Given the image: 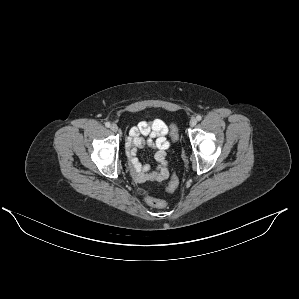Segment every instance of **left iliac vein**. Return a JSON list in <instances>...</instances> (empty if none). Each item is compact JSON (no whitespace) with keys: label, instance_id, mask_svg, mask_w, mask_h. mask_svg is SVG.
I'll return each instance as SVG.
<instances>
[{"label":"left iliac vein","instance_id":"4c4485c4","mask_svg":"<svg viewBox=\"0 0 299 299\" xmlns=\"http://www.w3.org/2000/svg\"><path fill=\"white\" fill-rule=\"evenodd\" d=\"M196 124H197V120H196V118H192V119L190 120V126H191V127H194V126H196Z\"/></svg>","mask_w":299,"mask_h":299}]
</instances>
